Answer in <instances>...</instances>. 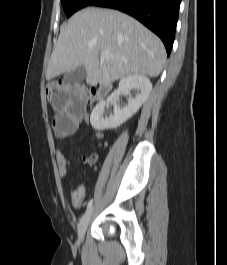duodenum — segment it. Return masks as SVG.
Returning <instances> with one entry per match:
<instances>
[{"mask_svg": "<svg viewBox=\"0 0 227 265\" xmlns=\"http://www.w3.org/2000/svg\"><path fill=\"white\" fill-rule=\"evenodd\" d=\"M110 90H111V83L109 82L101 83L96 89L97 99L104 98L109 93Z\"/></svg>", "mask_w": 227, "mask_h": 265, "instance_id": "410a0bca", "label": "duodenum"}]
</instances>
